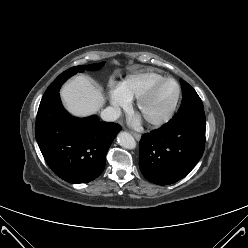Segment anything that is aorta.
I'll return each mask as SVG.
<instances>
[{
  "instance_id": "762f6f07",
  "label": "aorta",
  "mask_w": 248,
  "mask_h": 248,
  "mask_svg": "<svg viewBox=\"0 0 248 248\" xmlns=\"http://www.w3.org/2000/svg\"><path fill=\"white\" fill-rule=\"evenodd\" d=\"M117 141L120 146L126 149H134L136 147V141L128 132H121L118 134Z\"/></svg>"
}]
</instances>
